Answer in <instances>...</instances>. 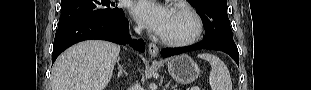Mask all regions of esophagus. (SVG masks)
<instances>
[{
	"mask_svg": "<svg viewBox=\"0 0 311 90\" xmlns=\"http://www.w3.org/2000/svg\"><path fill=\"white\" fill-rule=\"evenodd\" d=\"M148 51H149V54L151 55V57H157L158 52H159V49H158V47L156 46V44H154V43H149V45H148Z\"/></svg>",
	"mask_w": 311,
	"mask_h": 90,
	"instance_id": "34e87169",
	"label": "esophagus"
}]
</instances>
